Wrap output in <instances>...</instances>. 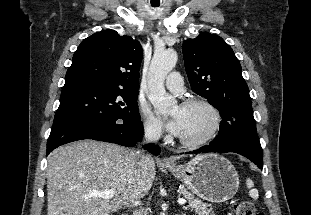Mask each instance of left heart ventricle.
I'll return each instance as SVG.
<instances>
[{
    "label": "left heart ventricle",
    "mask_w": 311,
    "mask_h": 215,
    "mask_svg": "<svg viewBox=\"0 0 311 215\" xmlns=\"http://www.w3.org/2000/svg\"><path fill=\"white\" fill-rule=\"evenodd\" d=\"M179 114L183 121L180 138L185 140H198L204 137L210 130L213 117L211 113L202 106L176 107L172 115Z\"/></svg>",
    "instance_id": "1"
}]
</instances>
